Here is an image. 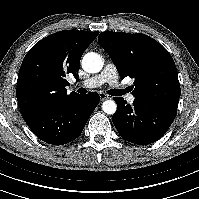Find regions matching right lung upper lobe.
Instances as JSON below:
<instances>
[{
  "mask_svg": "<svg viewBox=\"0 0 199 199\" xmlns=\"http://www.w3.org/2000/svg\"><path fill=\"white\" fill-rule=\"evenodd\" d=\"M99 32L63 30L45 37L26 54L18 74L16 96L23 117L78 94H67L66 77L76 74L81 56Z\"/></svg>",
  "mask_w": 199,
  "mask_h": 199,
  "instance_id": "cb5924a9",
  "label": "right lung upper lobe"
}]
</instances>
